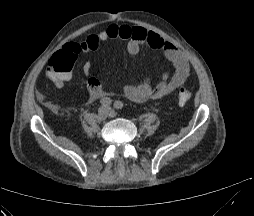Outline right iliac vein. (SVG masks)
Instances as JSON below:
<instances>
[{"mask_svg":"<svg viewBox=\"0 0 254 216\" xmlns=\"http://www.w3.org/2000/svg\"><path fill=\"white\" fill-rule=\"evenodd\" d=\"M109 115V109L107 107H100L98 110V118L105 120Z\"/></svg>","mask_w":254,"mask_h":216,"instance_id":"1","label":"right iliac vein"}]
</instances>
